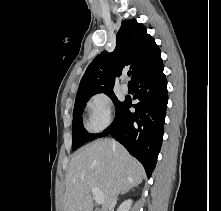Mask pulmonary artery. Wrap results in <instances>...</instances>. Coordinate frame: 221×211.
I'll return each mask as SVG.
<instances>
[{"label":"pulmonary artery","mask_w":221,"mask_h":211,"mask_svg":"<svg viewBox=\"0 0 221 211\" xmlns=\"http://www.w3.org/2000/svg\"><path fill=\"white\" fill-rule=\"evenodd\" d=\"M124 79H125V76H122L123 83L121 84V90L123 92H127L128 91V84L126 82H124Z\"/></svg>","instance_id":"obj_1"}]
</instances>
